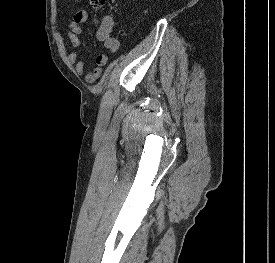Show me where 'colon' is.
<instances>
[{"label":"colon","mask_w":275,"mask_h":263,"mask_svg":"<svg viewBox=\"0 0 275 263\" xmlns=\"http://www.w3.org/2000/svg\"><path fill=\"white\" fill-rule=\"evenodd\" d=\"M105 0H90V4L93 8L98 9L103 6Z\"/></svg>","instance_id":"colon-1"}]
</instances>
